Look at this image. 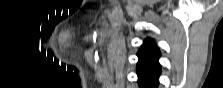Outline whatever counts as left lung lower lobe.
Returning <instances> with one entry per match:
<instances>
[{
    "label": "left lung lower lobe",
    "instance_id": "obj_1",
    "mask_svg": "<svg viewBox=\"0 0 223 88\" xmlns=\"http://www.w3.org/2000/svg\"><path fill=\"white\" fill-rule=\"evenodd\" d=\"M160 66L146 59H139L137 74L141 88H157Z\"/></svg>",
    "mask_w": 223,
    "mask_h": 88
}]
</instances>
